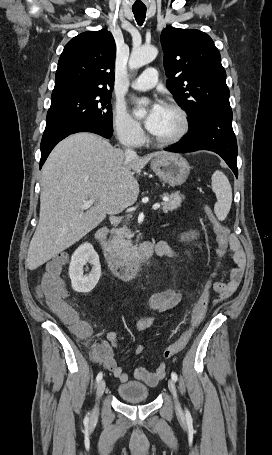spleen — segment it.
Masks as SVG:
<instances>
[{
  "instance_id": "3e777b00",
  "label": "spleen",
  "mask_w": 272,
  "mask_h": 455,
  "mask_svg": "<svg viewBox=\"0 0 272 455\" xmlns=\"http://www.w3.org/2000/svg\"><path fill=\"white\" fill-rule=\"evenodd\" d=\"M212 190L216 195L217 202L214 212L218 220L223 221L227 217L232 203V188L228 178L223 172L216 170L212 175Z\"/></svg>"
}]
</instances>
